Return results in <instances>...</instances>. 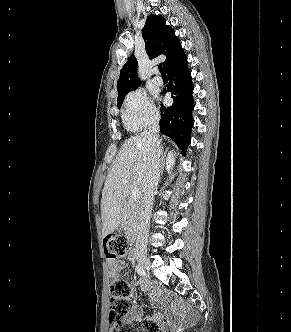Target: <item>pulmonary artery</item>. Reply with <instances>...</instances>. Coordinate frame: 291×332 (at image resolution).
<instances>
[{
    "instance_id": "pulmonary-artery-1",
    "label": "pulmonary artery",
    "mask_w": 291,
    "mask_h": 332,
    "mask_svg": "<svg viewBox=\"0 0 291 332\" xmlns=\"http://www.w3.org/2000/svg\"><path fill=\"white\" fill-rule=\"evenodd\" d=\"M153 82L156 84V85H161L163 83V80L160 76L158 75H155L153 77Z\"/></svg>"
}]
</instances>
